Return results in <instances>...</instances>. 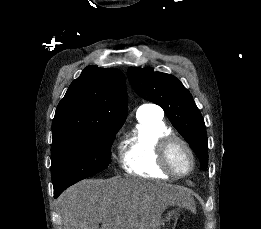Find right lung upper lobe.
<instances>
[{"mask_svg": "<svg viewBox=\"0 0 261 229\" xmlns=\"http://www.w3.org/2000/svg\"><path fill=\"white\" fill-rule=\"evenodd\" d=\"M127 116L125 77L116 68L87 66L69 86L52 123V145L98 126L123 125Z\"/></svg>", "mask_w": 261, "mask_h": 229, "instance_id": "obj_1", "label": "right lung upper lobe"}]
</instances>
